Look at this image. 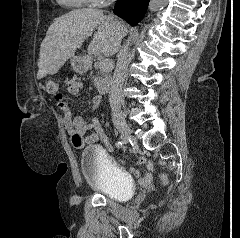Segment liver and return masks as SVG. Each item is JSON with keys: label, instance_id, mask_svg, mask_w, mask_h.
Masks as SVG:
<instances>
[{"label": "liver", "instance_id": "liver-1", "mask_svg": "<svg viewBox=\"0 0 240 238\" xmlns=\"http://www.w3.org/2000/svg\"><path fill=\"white\" fill-rule=\"evenodd\" d=\"M97 29L88 47L106 57L118 52L127 33L126 26L101 10L77 9L56 18L47 30L41 43L37 78L55 75L65 62L74 56L77 49Z\"/></svg>", "mask_w": 240, "mask_h": 238}]
</instances>
